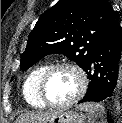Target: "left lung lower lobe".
Returning <instances> with one entry per match:
<instances>
[{
	"label": "left lung lower lobe",
	"mask_w": 122,
	"mask_h": 123,
	"mask_svg": "<svg viewBox=\"0 0 122 123\" xmlns=\"http://www.w3.org/2000/svg\"><path fill=\"white\" fill-rule=\"evenodd\" d=\"M122 31L117 18L95 46L84 71L90 79L87 93L79 102L115 100L120 91Z\"/></svg>",
	"instance_id": "obj_1"
}]
</instances>
